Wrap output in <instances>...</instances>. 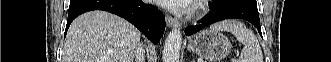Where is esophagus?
<instances>
[{"label": "esophagus", "mask_w": 331, "mask_h": 62, "mask_svg": "<svg viewBox=\"0 0 331 62\" xmlns=\"http://www.w3.org/2000/svg\"><path fill=\"white\" fill-rule=\"evenodd\" d=\"M165 20H166V24H167L168 27H173V26L178 25L177 19L173 18L172 16H170L168 14L165 16Z\"/></svg>", "instance_id": "34e87169"}]
</instances>
